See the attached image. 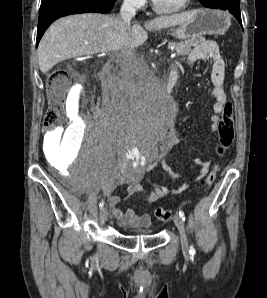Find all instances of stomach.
I'll return each instance as SVG.
<instances>
[{
	"mask_svg": "<svg viewBox=\"0 0 267 298\" xmlns=\"http://www.w3.org/2000/svg\"><path fill=\"white\" fill-rule=\"evenodd\" d=\"M191 14L189 20L171 29L172 36L186 40L203 34L223 35L231 24V16L222 10L199 9Z\"/></svg>",
	"mask_w": 267,
	"mask_h": 298,
	"instance_id": "stomach-1",
	"label": "stomach"
}]
</instances>
